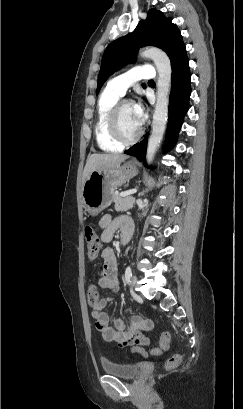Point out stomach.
<instances>
[{
    "label": "stomach",
    "mask_w": 243,
    "mask_h": 409,
    "mask_svg": "<svg viewBox=\"0 0 243 409\" xmlns=\"http://www.w3.org/2000/svg\"><path fill=\"white\" fill-rule=\"evenodd\" d=\"M136 164L125 162L104 171H93L87 177L82 187V201L86 211L98 215L113 202L114 191L136 176Z\"/></svg>",
    "instance_id": "obj_1"
}]
</instances>
